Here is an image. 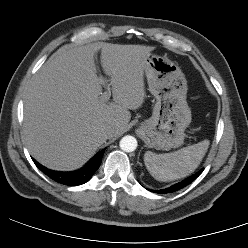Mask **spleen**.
I'll return each mask as SVG.
<instances>
[{"label": "spleen", "instance_id": "3e777b00", "mask_svg": "<svg viewBox=\"0 0 248 248\" xmlns=\"http://www.w3.org/2000/svg\"><path fill=\"white\" fill-rule=\"evenodd\" d=\"M208 147L209 140H203L173 153L155 154L147 151L144 154L145 166L158 181L184 178L199 166Z\"/></svg>", "mask_w": 248, "mask_h": 248}]
</instances>
